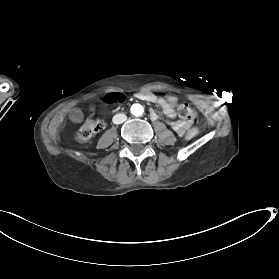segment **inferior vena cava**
I'll use <instances>...</instances> for the list:
<instances>
[{
    "instance_id": "1",
    "label": "inferior vena cava",
    "mask_w": 279,
    "mask_h": 279,
    "mask_svg": "<svg viewBox=\"0 0 279 279\" xmlns=\"http://www.w3.org/2000/svg\"><path fill=\"white\" fill-rule=\"evenodd\" d=\"M127 120V117L124 114H117L113 117V122L115 124H121Z\"/></svg>"
}]
</instances>
